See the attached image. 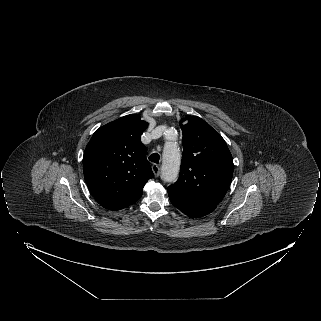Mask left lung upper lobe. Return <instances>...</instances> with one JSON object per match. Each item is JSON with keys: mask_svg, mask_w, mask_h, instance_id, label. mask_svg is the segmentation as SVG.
Instances as JSON below:
<instances>
[{"mask_svg": "<svg viewBox=\"0 0 321 321\" xmlns=\"http://www.w3.org/2000/svg\"><path fill=\"white\" fill-rule=\"evenodd\" d=\"M185 124L178 180L167 188L185 199L217 205L233 175V159L224 139L203 119L192 116Z\"/></svg>", "mask_w": 321, "mask_h": 321, "instance_id": "5c2ea615", "label": "left lung upper lobe"}]
</instances>
